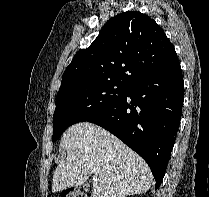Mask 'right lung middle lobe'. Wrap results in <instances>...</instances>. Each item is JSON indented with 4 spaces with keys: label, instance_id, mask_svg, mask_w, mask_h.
<instances>
[{
    "label": "right lung middle lobe",
    "instance_id": "obj_1",
    "mask_svg": "<svg viewBox=\"0 0 209 197\" xmlns=\"http://www.w3.org/2000/svg\"><path fill=\"white\" fill-rule=\"evenodd\" d=\"M130 86L121 81L107 80L82 82L61 88L53 115L52 141L55 142L69 126L87 121L123 99Z\"/></svg>",
    "mask_w": 209,
    "mask_h": 197
}]
</instances>
